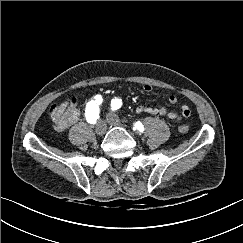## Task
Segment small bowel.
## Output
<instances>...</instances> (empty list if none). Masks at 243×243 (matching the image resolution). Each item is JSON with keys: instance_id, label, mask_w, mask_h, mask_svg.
<instances>
[{"instance_id": "c3829d8e", "label": "small bowel", "mask_w": 243, "mask_h": 243, "mask_svg": "<svg viewBox=\"0 0 243 243\" xmlns=\"http://www.w3.org/2000/svg\"><path fill=\"white\" fill-rule=\"evenodd\" d=\"M143 90L145 92H150L152 90V86L150 84H145V85H143ZM168 101L171 104H175V103H177L178 99L175 95L172 94V95H169ZM136 113L137 114H148V115H160V116H165L170 121H178L182 117H185V118L189 117L191 112L187 105H181L179 113L170 111L164 106L146 107V106L140 105L136 108Z\"/></svg>"}]
</instances>
